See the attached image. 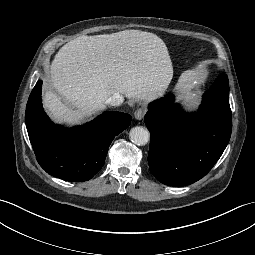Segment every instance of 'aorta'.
<instances>
[{
    "mask_svg": "<svg viewBox=\"0 0 255 255\" xmlns=\"http://www.w3.org/2000/svg\"><path fill=\"white\" fill-rule=\"evenodd\" d=\"M130 140L136 145H145L150 138V134L147 129L136 126L130 130Z\"/></svg>",
    "mask_w": 255,
    "mask_h": 255,
    "instance_id": "762f6f07",
    "label": "aorta"
}]
</instances>
